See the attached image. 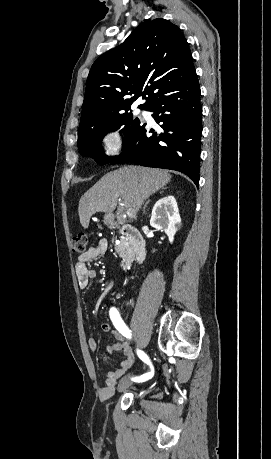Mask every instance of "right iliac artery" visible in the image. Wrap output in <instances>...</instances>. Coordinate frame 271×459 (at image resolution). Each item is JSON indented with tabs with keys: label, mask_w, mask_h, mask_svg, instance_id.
Here are the masks:
<instances>
[{
	"label": "right iliac artery",
	"mask_w": 271,
	"mask_h": 459,
	"mask_svg": "<svg viewBox=\"0 0 271 459\" xmlns=\"http://www.w3.org/2000/svg\"><path fill=\"white\" fill-rule=\"evenodd\" d=\"M110 318L113 322V325L115 326V328L123 335L125 336L126 338H129L131 339V330L126 326V324L124 323V321L122 320V318L120 317V314L119 312L117 311L116 308H111L110 309ZM137 355L139 356V358L145 362L146 364L150 365V367H152L153 365L151 364L150 362V359L149 357L141 350H137ZM152 369V368H151ZM154 369V368H153ZM152 371H149V373H139L138 374V377H135V378H132L133 381H140L142 383H148L150 382L151 378H153V373H151Z\"/></svg>",
	"instance_id": "82829eb1"
}]
</instances>
